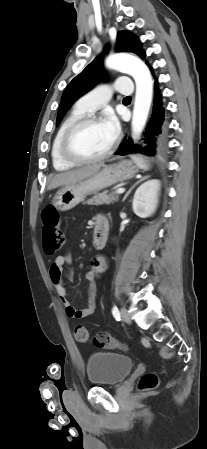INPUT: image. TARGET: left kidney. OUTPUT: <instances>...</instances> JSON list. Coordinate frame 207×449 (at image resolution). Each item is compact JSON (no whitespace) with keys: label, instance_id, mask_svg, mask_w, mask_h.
<instances>
[{"label":"left kidney","instance_id":"1","mask_svg":"<svg viewBox=\"0 0 207 449\" xmlns=\"http://www.w3.org/2000/svg\"><path fill=\"white\" fill-rule=\"evenodd\" d=\"M159 189L160 182L156 179L148 180L138 187L132 202L133 211L137 216L146 218L155 212Z\"/></svg>","mask_w":207,"mask_h":449}]
</instances>
